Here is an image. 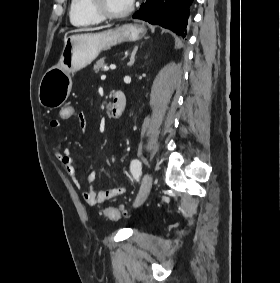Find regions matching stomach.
<instances>
[{
    "instance_id": "0dacf381",
    "label": "stomach",
    "mask_w": 280,
    "mask_h": 283,
    "mask_svg": "<svg viewBox=\"0 0 280 283\" xmlns=\"http://www.w3.org/2000/svg\"><path fill=\"white\" fill-rule=\"evenodd\" d=\"M146 34L144 25L125 24L99 33L71 35L66 38L57 65L43 75L38 91L40 104L60 107L72 88V75L91 64L105 49L126 41H137Z\"/></svg>"
}]
</instances>
